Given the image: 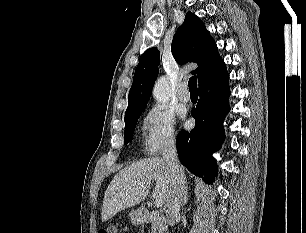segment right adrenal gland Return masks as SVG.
Returning <instances> with one entry per match:
<instances>
[{"instance_id":"2a0ac1e0","label":"right adrenal gland","mask_w":306,"mask_h":233,"mask_svg":"<svg viewBox=\"0 0 306 233\" xmlns=\"http://www.w3.org/2000/svg\"><path fill=\"white\" fill-rule=\"evenodd\" d=\"M188 201V187H186L185 193H184V197L182 200V206H184L185 204H187Z\"/></svg>"}]
</instances>
